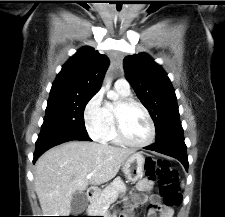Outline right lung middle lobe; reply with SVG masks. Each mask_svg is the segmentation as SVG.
Here are the masks:
<instances>
[{
    "instance_id": "1",
    "label": "right lung middle lobe",
    "mask_w": 225,
    "mask_h": 217,
    "mask_svg": "<svg viewBox=\"0 0 225 217\" xmlns=\"http://www.w3.org/2000/svg\"><path fill=\"white\" fill-rule=\"evenodd\" d=\"M93 95L50 94L41 132L60 131L88 136L84 109Z\"/></svg>"
}]
</instances>
